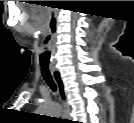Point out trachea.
<instances>
[{
	"mask_svg": "<svg viewBox=\"0 0 134 123\" xmlns=\"http://www.w3.org/2000/svg\"><path fill=\"white\" fill-rule=\"evenodd\" d=\"M48 55H49L48 52H43L40 54V57L42 58V57H46ZM40 66H41V73H42L44 80L46 81V83L50 86V88L53 91H56V84L51 76L48 63H43L41 61Z\"/></svg>",
	"mask_w": 134,
	"mask_h": 123,
	"instance_id": "obj_1",
	"label": "trachea"
}]
</instances>
